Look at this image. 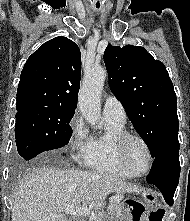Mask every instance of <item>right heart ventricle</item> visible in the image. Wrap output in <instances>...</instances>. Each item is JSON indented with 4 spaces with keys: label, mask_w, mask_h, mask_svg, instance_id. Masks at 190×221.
Returning a JSON list of instances; mask_svg holds the SVG:
<instances>
[{
    "label": "right heart ventricle",
    "mask_w": 190,
    "mask_h": 221,
    "mask_svg": "<svg viewBox=\"0 0 190 221\" xmlns=\"http://www.w3.org/2000/svg\"><path fill=\"white\" fill-rule=\"evenodd\" d=\"M126 132L125 122L106 118V129L92 137L91 153L85 165L95 171L120 177H132L119 163L116 154V141Z\"/></svg>",
    "instance_id": "obj_1"
}]
</instances>
